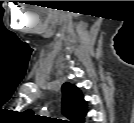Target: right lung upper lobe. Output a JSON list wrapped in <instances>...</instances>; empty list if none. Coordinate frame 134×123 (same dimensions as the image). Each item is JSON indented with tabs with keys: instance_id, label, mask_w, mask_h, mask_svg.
I'll return each instance as SVG.
<instances>
[{
	"instance_id": "obj_1",
	"label": "right lung upper lobe",
	"mask_w": 134,
	"mask_h": 123,
	"mask_svg": "<svg viewBox=\"0 0 134 123\" xmlns=\"http://www.w3.org/2000/svg\"><path fill=\"white\" fill-rule=\"evenodd\" d=\"M62 93L63 114L70 120V123H83L86 114L84 109L86 101H84L79 89L70 83H65L62 86ZM27 112L32 113L30 110Z\"/></svg>"
}]
</instances>
